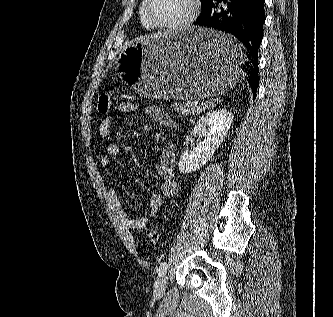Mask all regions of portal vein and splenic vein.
<instances>
[{
    "instance_id": "portal-vein-and-splenic-vein-1",
    "label": "portal vein and splenic vein",
    "mask_w": 333,
    "mask_h": 317,
    "mask_svg": "<svg viewBox=\"0 0 333 317\" xmlns=\"http://www.w3.org/2000/svg\"><path fill=\"white\" fill-rule=\"evenodd\" d=\"M193 104H197V102H193Z\"/></svg>"
}]
</instances>
